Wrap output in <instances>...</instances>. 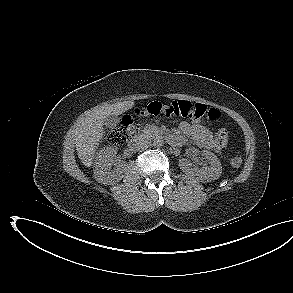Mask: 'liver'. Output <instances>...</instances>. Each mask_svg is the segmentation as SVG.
Returning a JSON list of instances; mask_svg holds the SVG:
<instances>
[{"instance_id": "1", "label": "liver", "mask_w": 293, "mask_h": 293, "mask_svg": "<svg viewBox=\"0 0 293 293\" xmlns=\"http://www.w3.org/2000/svg\"><path fill=\"white\" fill-rule=\"evenodd\" d=\"M133 106V101L118 102L95 108L78 119L74 129L75 146L79 159L86 167L93 164L95 152L103 137L105 119L110 115L118 116Z\"/></svg>"}]
</instances>
